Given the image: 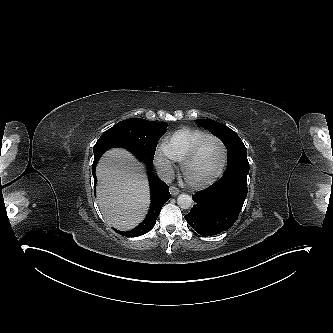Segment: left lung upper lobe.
<instances>
[{"label":"left lung upper lobe","mask_w":333,"mask_h":333,"mask_svg":"<svg viewBox=\"0 0 333 333\" xmlns=\"http://www.w3.org/2000/svg\"><path fill=\"white\" fill-rule=\"evenodd\" d=\"M199 126L205 127L216 135L226 146L228 151V168L222 179L229 182L232 179L247 180L249 163L247 149L240 137L226 125L209 119H196Z\"/></svg>","instance_id":"1"}]
</instances>
